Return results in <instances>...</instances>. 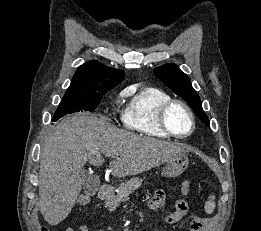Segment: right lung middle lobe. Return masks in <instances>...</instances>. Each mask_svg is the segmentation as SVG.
I'll list each match as a JSON object with an SVG mask.
<instances>
[{
    "instance_id": "obj_1",
    "label": "right lung middle lobe",
    "mask_w": 261,
    "mask_h": 231,
    "mask_svg": "<svg viewBox=\"0 0 261 231\" xmlns=\"http://www.w3.org/2000/svg\"><path fill=\"white\" fill-rule=\"evenodd\" d=\"M106 92L99 93H65L52 121L74 112L93 111Z\"/></svg>"
}]
</instances>
